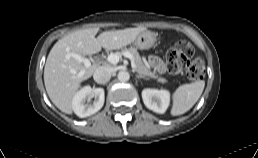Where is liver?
<instances>
[{"label": "liver", "instance_id": "1", "mask_svg": "<svg viewBox=\"0 0 258 158\" xmlns=\"http://www.w3.org/2000/svg\"><path fill=\"white\" fill-rule=\"evenodd\" d=\"M146 30L145 27L105 31L98 37V28L77 30L58 40L52 47L44 67V83L53 104L66 114L72 113V99L81 83L90 78L99 67L96 64L86 68L81 62L67 55L81 56L96 54L101 48L113 50L131 44Z\"/></svg>", "mask_w": 258, "mask_h": 158}]
</instances>
